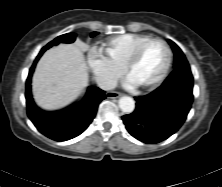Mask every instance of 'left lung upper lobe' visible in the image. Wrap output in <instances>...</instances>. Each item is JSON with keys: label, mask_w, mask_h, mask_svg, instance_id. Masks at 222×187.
Segmentation results:
<instances>
[{"label": "left lung upper lobe", "mask_w": 222, "mask_h": 187, "mask_svg": "<svg viewBox=\"0 0 222 187\" xmlns=\"http://www.w3.org/2000/svg\"><path fill=\"white\" fill-rule=\"evenodd\" d=\"M174 52V70L182 67H189L188 61L181 49L171 40H168Z\"/></svg>", "instance_id": "left-lung-upper-lobe-1"}]
</instances>
